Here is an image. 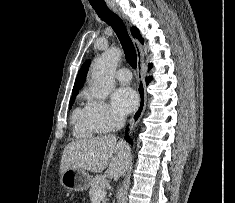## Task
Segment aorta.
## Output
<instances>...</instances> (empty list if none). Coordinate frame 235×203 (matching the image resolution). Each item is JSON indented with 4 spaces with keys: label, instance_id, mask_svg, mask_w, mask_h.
I'll return each instance as SVG.
<instances>
[{
    "label": "aorta",
    "instance_id": "1",
    "mask_svg": "<svg viewBox=\"0 0 235 203\" xmlns=\"http://www.w3.org/2000/svg\"><path fill=\"white\" fill-rule=\"evenodd\" d=\"M120 59L121 51L111 47L95 61L92 68L93 95L98 100H105L114 88L115 70Z\"/></svg>",
    "mask_w": 235,
    "mask_h": 203
}]
</instances>
